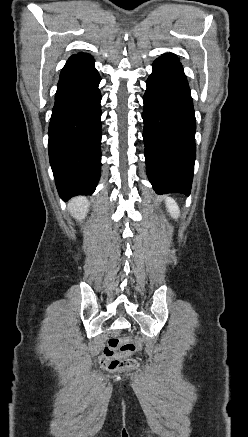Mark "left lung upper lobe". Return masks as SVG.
Returning a JSON list of instances; mask_svg holds the SVG:
<instances>
[{
    "mask_svg": "<svg viewBox=\"0 0 248 437\" xmlns=\"http://www.w3.org/2000/svg\"><path fill=\"white\" fill-rule=\"evenodd\" d=\"M161 57H170L176 59V55H174L173 53L163 54V56Z\"/></svg>",
    "mask_w": 248,
    "mask_h": 437,
    "instance_id": "5c2ea615",
    "label": "left lung upper lobe"
}]
</instances>
